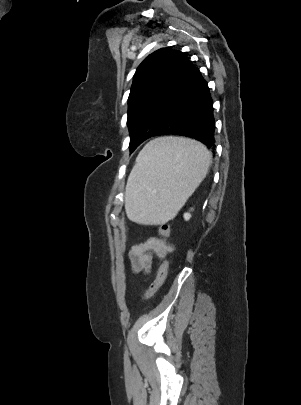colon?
I'll use <instances>...</instances> for the list:
<instances>
[{
    "instance_id": "1",
    "label": "colon",
    "mask_w": 301,
    "mask_h": 405,
    "mask_svg": "<svg viewBox=\"0 0 301 405\" xmlns=\"http://www.w3.org/2000/svg\"><path fill=\"white\" fill-rule=\"evenodd\" d=\"M159 232L161 235L165 237H169L171 234V229L168 224H161L159 226ZM168 267H169V262L167 259L163 260L162 263L159 266L157 276L155 280L152 282L150 285L149 289L146 291V293L141 297L142 300H148L150 299L156 292L157 290L162 286L164 283L167 273H168Z\"/></svg>"
}]
</instances>
